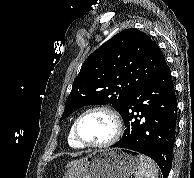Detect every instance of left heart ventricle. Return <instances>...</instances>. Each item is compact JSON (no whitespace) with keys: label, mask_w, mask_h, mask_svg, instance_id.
I'll return each instance as SVG.
<instances>
[{"label":"left heart ventricle","mask_w":194,"mask_h":178,"mask_svg":"<svg viewBox=\"0 0 194 178\" xmlns=\"http://www.w3.org/2000/svg\"><path fill=\"white\" fill-rule=\"evenodd\" d=\"M78 131L84 141L102 143L112 136L114 124L106 113L91 112L81 119Z\"/></svg>","instance_id":"left-heart-ventricle-1"}]
</instances>
